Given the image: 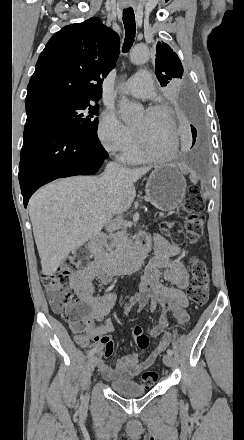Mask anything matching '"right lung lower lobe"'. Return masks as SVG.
I'll return each mask as SVG.
<instances>
[{
	"label": "right lung lower lobe",
	"instance_id": "obj_1",
	"mask_svg": "<svg viewBox=\"0 0 244 440\" xmlns=\"http://www.w3.org/2000/svg\"><path fill=\"white\" fill-rule=\"evenodd\" d=\"M107 157L97 136L78 134L48 121H26L18 175L24 207L44 184L95 174Z\"/></svg>",
	"mask_w": 244,
	"mask_h": 440
}]
</instances>
